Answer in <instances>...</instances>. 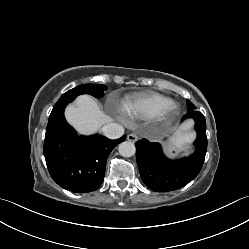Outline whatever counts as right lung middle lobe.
I'll use <instances>...</instances> for the list:
<instances>
[{"label": "right lung middle lobe", "instance_id": "obj_1", "mask_svg": "<svg viewBox=\"0 0 249 249\" xmlns=\"http://www.w3.org/2000/svg\"><path fill=\"white\" fill-rule=\"evenodd\" d=\"M107 90L105 85L99 84H84L77 86L66 93H64L60 99L56 102L54 109H57L61 106H65L68 103L72 102L78 95L81 94H90L94 97L100 98L104 95V91Z\"/></svg>", "mask_w": 249, "mask_h": 249}]
</instances>
